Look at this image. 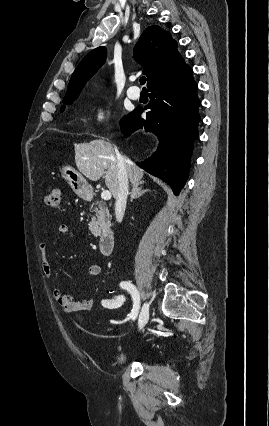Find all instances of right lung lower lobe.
Instances as JSON below:
<instances>
[{
  "mask_svg": "<svg viewBox=\"0 0 269 426\" xmlns=\"http://www.w3.org/2000/svg\"><path fill=\"white\" fill-rule=\"evenodd\" d=\"M151 109L141 118L138 107L121 121L127 137L139 128L153 132L158 139L157 151L147 160L137 163L150 174L167 182L176 195L185 185L190 167L194 140L198 137L197 84L189 65L177 73L148 87Z\"/></svg>",
  "mask_w": 269,
  "mask_h": 426,
  "instance_id": "obj_1",
  "label": "right lung lower lobe"
}]
</instances>
